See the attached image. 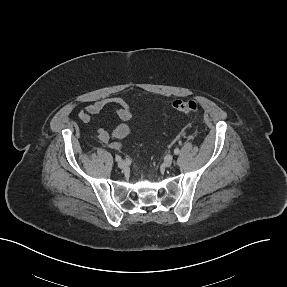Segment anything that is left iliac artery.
I'll use <instances>...</instances> for the list:
<instances>
[{
	"label": "left iliac artery",
	"instance_id": "left-iliac-artery-1",
	"mask_svg": "<svg viewBox=\"0 0 287 287\" xmlns=\"http://www.w3.org/2000/svg\"><path fill=\"white\" fill-rule=\"evenodd\" d=\"M180 153V150L178 149V148H176L175 150H174V154L175 155H178Z\"/></svg>",
	"mask_w": 287,
	"mask_h": 287
}]
</instances>
